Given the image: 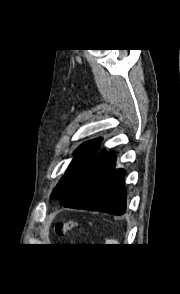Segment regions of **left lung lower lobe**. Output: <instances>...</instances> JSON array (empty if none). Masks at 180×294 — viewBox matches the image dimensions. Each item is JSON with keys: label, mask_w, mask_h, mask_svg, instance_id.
Returning a JSON list of instances; mask_svg holds the SVG:
<instances>
[{"label": "left lung lower lobe", "mask_w": 180, "mask_h": 294, "mask_svg": "<svg viewBox=\"0 0 180 294\" xmlns=\"http://www.w3.org/2000/svg\"><path fill=\"white\" fill-rule=\"evenodd\" d=\"M116 156L102 150L74 181L61 205L69 208L122 215L126 211L125 170L117 169Z\"/></svg>", "instance_id": "left-lung-lower-lobe-1"}]
</instances>
